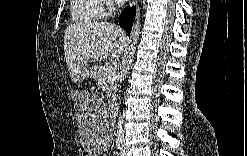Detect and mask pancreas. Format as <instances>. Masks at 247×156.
Returning <instances> with one entry per match:
<instances>
[{"label": "pancreas", "mask_w": 247, "mask_h": 156, "mask_svg": "<svg viewBox=\"0 0 247 156\" xmlns=\"http://www.w3.org/2000/svg\"><path fill=\"white\" fill-rule=\"evenodd\" d=\"M107 67H109V65L98 67V75L96 77V81H97V85L103 88L107 97L109 99H112L117 89V84H116L115 75H110V76L105 75V69Z\"/></svg>", "instance_id": "1"}]
</instances>
